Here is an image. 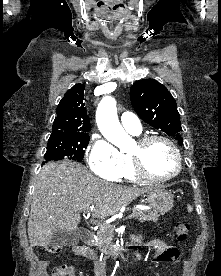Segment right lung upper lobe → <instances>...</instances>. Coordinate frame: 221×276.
Wrapping results in <instances>:
<instances>
[{"mask_svg":"<svg viewBox=\"0 0 221 276\" xmlns=\"http://www.w3.org/2000/svg\"><path fill=\"white\" fill-rule=\"evenodd\" d=\"M84 89V84H76L65 93L57 106L50 138L88 135L91 125L84 104Z\"/></svg>","mask_w":221,"mask_h":276,"instance_id":"right-lung-upper-lobe-1","label":"right lung upper lobe"}]
</instances>
